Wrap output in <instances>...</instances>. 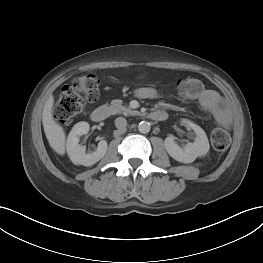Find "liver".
<instances>
[{"label": "liver", "instance_id": "liver-1", "mask_svg": "<svg viewBox=\"0 0 263 263\" xmlns=\"http://www.w3.org/2000/svg\"><path fill=\"white\" fill-rule=\"evenodd\" d=\"M53 104L54 97L50 95L48 100L45 102L42 113L44 132L51 148L59 155H64L66 135L63 128L53 119Z\"/></svg>", "mask_w": 263, "mask_h": 263}]
</instances>
